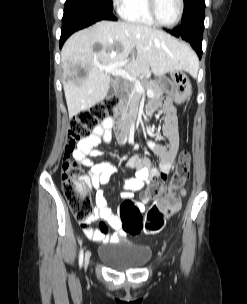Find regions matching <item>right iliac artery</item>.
Listing matches in <instances>:
<instances>
[{
	"instance_id": "82829eb1",
	"label": "right iliac artery",
	"mask_w": 247,
	"mask_h": 304,
	"mask_svg": "<svg viewBox=\"0 0 247 304\" xmlns=\"http://www.w3.org/2000/svg\"><path fill=\"white\" fill-rule=\"evenodd\" d=\"M83 263V249H81L79 254V266L81 267Z\"/></svg>"
}]
</instances>
